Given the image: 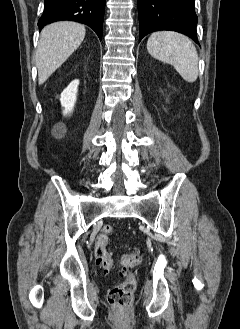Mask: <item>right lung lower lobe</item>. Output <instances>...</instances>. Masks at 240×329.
I'll use <instances>...</instances> for the list:
<instances>
[{"label": "right lung lower lobe", "mask_w": 240, "mask_h": 329, "mask_svg": "<svg viewBox=\"0 0 240 329\" xmlns=\"http://www.w3.org/2000/svg\"><path fill=\"white\" fill-rule=\"evenodd\" d=\"M44 1V13L38 21L39 30L56 21L70 20L88 25L102 38L106 0Z\"/></svg>", "instance_id": "1"}]
</instances>
